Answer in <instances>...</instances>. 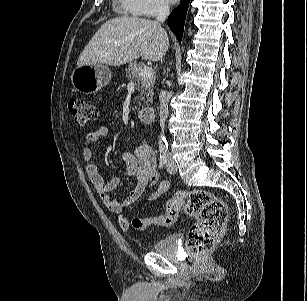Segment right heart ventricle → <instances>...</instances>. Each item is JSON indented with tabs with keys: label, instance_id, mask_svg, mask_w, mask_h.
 I'll use <instances>...</instances> for the list:
<instances>
[{
	"label": "right heart ventricle",
	"instance_id": "obj_1",
	"mask_svg": "<svg viewBox=\"0 0 307 301\" xmlns=\"http://www.w3.org/2000/svg\"><path fill=\"white\" fill-rule=\"evenodd\" d=\"M118 8L122 10L124 13L131 16H139L136 12L133 4V0H117Z\"/></svg>",
	"mask_w": 307,
	"mask_h": 301
}]
</instances>
